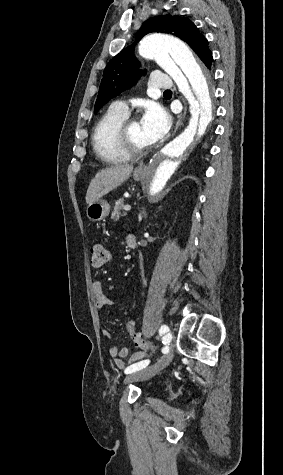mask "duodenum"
<instances>
[{"label":"duodenum","instance_id":"obj_1","mask_svg":"<svg viewBox=\"0 0 283 475\" xmlns=\"http://www.w3.org/2000/svg\"><path fill=\"white\" fill-rule=\"evenodd\" d=\"M127 245L130 249H134L137 246V239L134 235H130L127 240Z\"/></svg>","mask_w":283,"mask_h":475}]
</instances>
